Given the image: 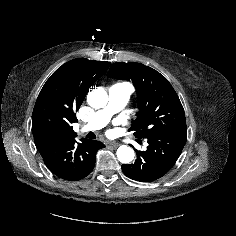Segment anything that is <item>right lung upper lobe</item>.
<instances>
[{"label": "right lung upper lobe", "mask_w": 236, "mask_h": 236, "mask_svg": "<svg viewBox=\"0 0 236 236\" xmlns=\"http://www.w3.org/2000/svg\"><path fill=\"white\" fill-rule=\"evenodd\" d=\"M109 62L77 58L59 67L44 84L32 114L35 144L74 139L72 123L91 85L109 68Z\"/></svg>", "instance_id": "cb5924a9"}]
</instances>
